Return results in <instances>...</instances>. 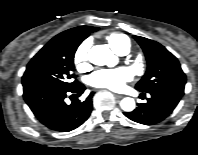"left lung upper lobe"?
Here are the masks:
<instances>
[{"mask_svg":"<svg viewBox=\"0 0 198 155\" xmlns=\"http://www.w3.org/2000/svg\"><path fill=\"white\" fill-rule=\"evenodd\" d=\"M146 56L148 68L136 89L150 93L161 88L184 91L186 76L177 58L161 44L140 36H134Z\"/></svg>","mask_w":198,"mask_h":155,"instance_id":"5c2ea615","label":"left lung upper lobe"}]
</instances>
